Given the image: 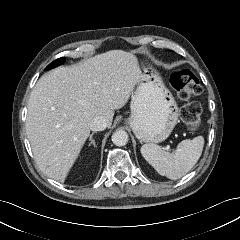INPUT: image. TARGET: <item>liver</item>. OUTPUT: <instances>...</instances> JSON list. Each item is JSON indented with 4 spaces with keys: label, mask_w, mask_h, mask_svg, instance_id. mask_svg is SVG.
<instances>
[{
    "label": "liver",
    "mask_w": 240,
    "mask_h": 240,
    "mask_svg": "<svg viewBox=\"0 0 240 240\" xmlns=\"http://www.w3.org/2000/svg\"><path fill=\"white\" fill-rule=\"evenodd\" d=\"M141 79L135 55L111 50L44 74L33 88L26 133L40 170L63 183L90 135V121L107 127Z\"/></svg>",
    "instance_id": "obj_1"
}]
</instances>
